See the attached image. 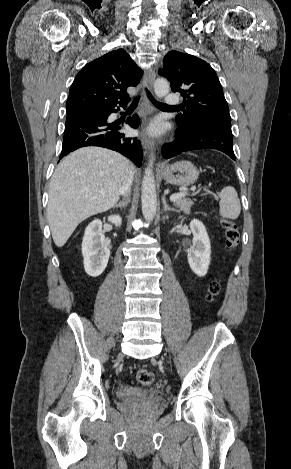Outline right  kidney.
<instances>
[{"label":"right kidney","mask_w":291,"mask_h":469,"mask_svg":"<svg viewBox=\"0 0 291 469\" xmlns=\"http://www.w3.org/2000/svg\"><path fill=\"white\" fill-rule=\"evenodd\" d=\"M108 220L116 226L122 223L119 215L109 216ZM82 255L84 269L89 276L98 277L103 273L110 257V249L105 242L101 220L95 219L86 227L82 241Z\"/></svg>","instance_id":"1"}]
</instances>
